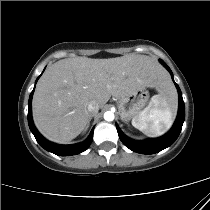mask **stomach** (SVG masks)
<instances>
[{
    "instance_id": "stomach-1",
    "label": "stomach",
    "mask_w": 210,
    "mask_h": 210,
    "mask_svg": "<svg viewBox=\"0 0 210 210\" xmlns=\"http://www.w3.org/2000/svg\"><path fill=\"white\" fill-rule=\"evenodd\" d=\"M149 99V93L146 88L137 90L136 92L120 98L118 101V110L123 121H129L142 112Z\"/></svg>"
}]
</instances>
